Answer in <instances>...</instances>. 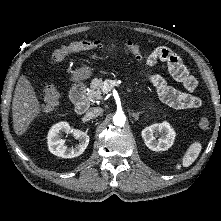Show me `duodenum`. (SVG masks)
<instances>
[{
    "label": "duodenum",
    "instance_id": "duodenum-1",
    "mask_svg": "<svg viewBox=\"0 0 221 221\" xmlns=\"http://www.w3.org/2000/svg\"><path fill=\"white\" fill-rule=\"evenodd\" d=\"M70 98L75 105L78 114H83L89 107L86 86L83 83H75L70 90Z\"/></svg>",
    "mask_w": 221,
    "mask_h": 221
}]
</instances>
